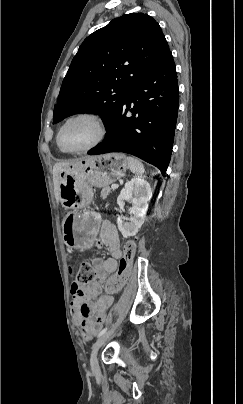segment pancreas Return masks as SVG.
Here are the masks:
<instances>
[{"label": "pancreas", "instance_id": "cf45deb5", "mask_svg": "<svg viewBox=\"0 0 243 404\" xmlns=\"http://www.w3.org/2000/svg\"><path fill=\"white\" fill-rule=\"evenodd\" d=\"M111 192V188H109V186H105V188H103L102 192H101V198H107V196H109Z\"/></svg>", "mask_w": 243, "mask_h": 404}]
</instances>
